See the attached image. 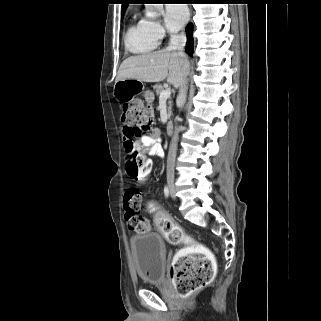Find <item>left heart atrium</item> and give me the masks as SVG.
Returning <instances> with one entry per match:
<instances>
[{"instance_id": "1", "label": "left heart atrium", "mask_w": 321, "mask_h": 321, "mask_svg": "<svg viewBox=\"0 0 321 321\" xmlns=\"http://www.w3.org/2000/svg\"><path fill=\"white\" fill-rule=\"evenodd\" d=\"M188 14V9L183 4H168L164 10L166 26L171 31L181 29L188 19Z\"/></svg>"}]
</instances>
